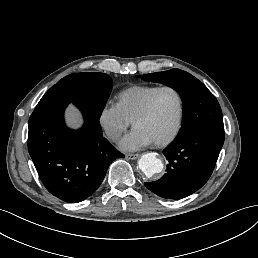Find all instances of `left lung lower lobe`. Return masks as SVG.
<instances>
[{"instance_id": "left-lung-lower-lobe-1", "label": "left lung lower lobe", "mask_w": 258, "mask_h": 258, "mask_svg": "<svg viewBox=\"0 0 258 258\" xmlns=\"http://www.w3.org/2000/svg\"><path fill=\"white\" fill-rule=\"evenodd\" d=\"M225 138L224 130L204 128L181 140H174L165 150L167 173L157 181L145 182L156 195L182 199L199 190L210 178Z\"/></svg>"}]
</instances>
